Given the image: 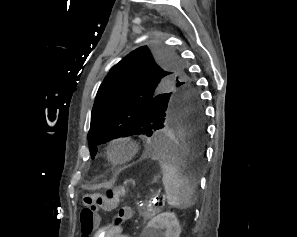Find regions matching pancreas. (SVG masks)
Segmentation results:
<instances>
[{
    "label": "pancreas",
    "instance_id": "cf45deb5",
    "mask_svg": "<svg viewBox=\"0 0 297 237\" xmlns=\"http://www.w3.org/2000/svg\"><path fill=\"white\" fill-rule=\"evenodd\" d=\"M160 210L155 207H150L147 210H140V215L144 218V220H149L154 217Z\"/></svg>",
    "mask_w": 297,
    "mask_h": 237
}]
</instances>
